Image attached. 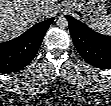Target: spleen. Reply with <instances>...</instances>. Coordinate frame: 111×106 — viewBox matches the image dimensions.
Here are the masks:
<instances>
[{"label":"spleen","mask_w":111,"mask_h":106,"mask_svg":"<svg viewBox=\"0 0 111 106\" xmlns=\"http://www.w3.org/2000/svg\"><path fill=\"white\" fill-rule=\"evenodd\" d=\"M90 27L101 34L111 35V15L92 18Z\"/></svg>","instance_id":"spleen-1"}]
</instances>
